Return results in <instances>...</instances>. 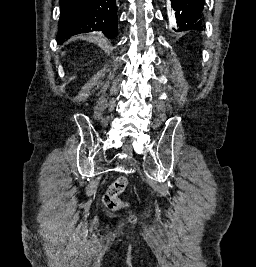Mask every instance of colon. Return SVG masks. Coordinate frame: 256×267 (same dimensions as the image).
<instances>
[{"mask_svg":"<svg viewBox=\"0 0 256 267\" xmlns=\"http://www.w3.org/2000/svg\"><path fill=\"white\" fill-rule=\"evenodd\" d=\"M128 181L125 177L114 180L104 193L102 201L109 210H118L121 207L120 195L127 189Z\"/></svg>","mask_w":256,"mask_h":267,"instance_id":"1","label":"colon"}]
</instances>
